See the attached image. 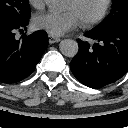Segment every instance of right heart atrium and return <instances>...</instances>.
Masks as SVG:
<instances>
[{"mask_svg": "<svg viewBox=\"0 0 128 128\" xmlns=\"http://www.w3.org/2000/svg\"><path fill=\"white\" fill-rule=\"evenodd\" d=\"M28 2L36 9H41L44 6V0H28Z\"/></svg>", "mask_w": 128, "mask_h": 128, "instance_id": "d8ad5b80", "label": "right heart atrium"}]
</instances>
